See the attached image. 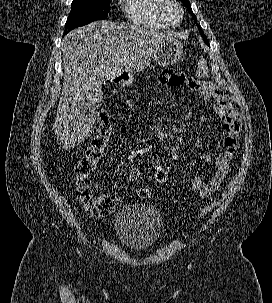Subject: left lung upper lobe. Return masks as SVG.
Listing matches in <instances>:
<instances>
[{"label":"left lung upper lobe","instance_id":"left-lung-upper-lobe-1","mask_svg":"<svg viewBox=\"0 0 272 303\" xmlns=\"http://www.w3.org/2000/svg\"><path fill=\"white\" fill-rule=\"evenodd\" d=\"M181 1L186 5L188 12L193 16L194 21L196 22V25L199 27L201 36L203 37L205 43L209 45V42H208L207 37L204 35V33H203V31L201 30L200 26L197 24V19H196L195 14L192 12L190 2H189L188 0H181Z\"/></svg>","mask_w":272,"mask_h":303}]
</instances>
